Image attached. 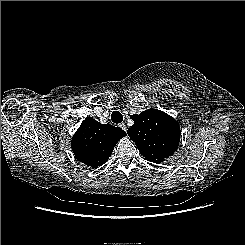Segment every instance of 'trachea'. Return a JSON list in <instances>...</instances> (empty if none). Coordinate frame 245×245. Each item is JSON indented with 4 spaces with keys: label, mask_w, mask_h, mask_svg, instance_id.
<instances>
[{
    "label": "trachea",
    "mask_w": 245,
    "mask_h": 245,
    "mask_svg": "<svg viewBox=\"0 0 245 245\" xmlns=\"http://www.w3.org/2000/svg\"><path fill=\"white\" fill-rule=\"evenodd\" d=\"M111 120L112 122L118 124L123 121V116L119 111H113L111 114Z\"/></svg>",
    "instance_id": "3493384b"
}]
</instances>
